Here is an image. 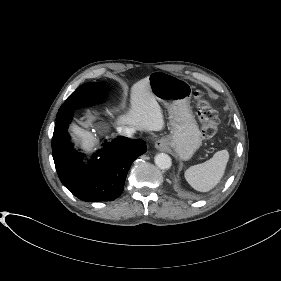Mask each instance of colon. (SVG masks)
I'll return each mask as SVG.
<instances>
[{
	"instance_id": "1",
	"label": "colon",
	"mask_w": 281,
	"mask_h": 281,
	"mask_svg": "<svg viewBox=\"0 0 281 281\" xmlns=\"http://www.w3.org/2000/svg\"><path fill=\"white\" fill-rule=\"evenodd\" d=\"M196 99L202 122V134L205 138H212L218 132V112L212 108L203 93L198 92Z\"/></svg>"
}]
</instances>
